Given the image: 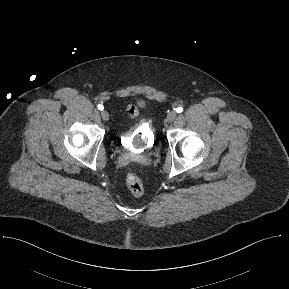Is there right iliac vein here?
<instances>
[{
	"label": "right iliac vein",
	"instance_id": "63e3f726",
	"mask_svg": "<svg viewBox=\"0 0 289 289\" xmlns=\"http://www.w3.org/2000/svg\"><path fill=\"white\" fill-rule=\"evenodd\" d=\"M101 116L104 120H108L109 119V115H108V112L107 111H102L101 112Z\"/></svg>",
	"mask_w": 289,
	"mask_h": 289
}]
</instances>
